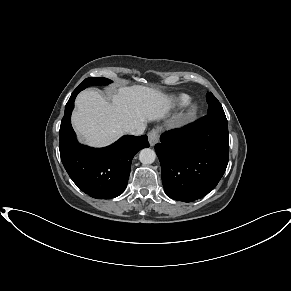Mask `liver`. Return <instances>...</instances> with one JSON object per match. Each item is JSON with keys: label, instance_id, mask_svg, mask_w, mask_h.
<instances>
[{"label": "liver", "instance_id": "obj_1", "mask_svg": "<svg viewBox=\"0 0 291 291\" xmlns=\"http://www.w3.org/2000/svg\"><path fill=\"white\" fill-rule=\"evenodd\" d=\"M72 123L80 138L93 147H104L147 121L164 118L172 107L171 97L153 88L122 87L108 102L94 90L76 98Z\"/></svg>", "mask_w": 291, "mask_h": 291}]
</instances>
